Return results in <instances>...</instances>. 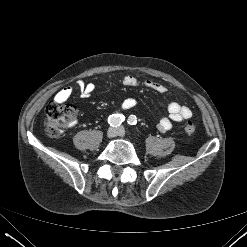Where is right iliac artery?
<instances>
[{"label":"right iliac artery","mask_w":247,"mask_h":247,"mask_svg":"<svg viewBox=\"0 0 247 247\" xmlns=\"http://www.w3.org/2000/svg\"><path fill=\"white\" fill-rule=\"evenodd\" d=\"M125 120L124 115L121 114H112L108 118V123L112 127H118L121 125V123Z\"/></svg>","instance_id":"right-iliac-artery-1"}]
</instances>
